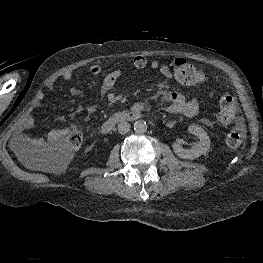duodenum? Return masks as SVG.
<instances>
[{"mask_svg":"<svg viewBox=\"0 0 263 263\" xmlns=\"http://www.w3.org/2000/svg\"><path fill=\"white\" fill-rule=\"evenodd\" d=\"M147 109L148 107L146 104L138 103L130 106L126 110L118 111L113 115H111L106 121L102 123L101 131L103 133H108L118 123L137 120L144 114V112Z\"/></svg>","mask_w":263,"mask_h":263,"instance_id":"duodenum-1","label":"duodenum"}]
</instances>
